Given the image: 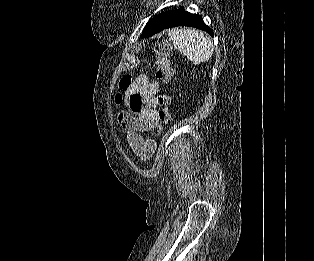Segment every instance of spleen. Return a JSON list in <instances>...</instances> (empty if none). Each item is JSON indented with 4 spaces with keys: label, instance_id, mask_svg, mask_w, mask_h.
Segmentation results:
<instances>
[{
    "label": "spleen",
    "instance_id": "obj_1",
    "mask_svg": "<svg viewBox=\"0 0 314 261\" xmlns=\"http://www.w3.org/2000/svg\"><path fill=\"white\" fill-rule=\"evenodd\" d=\"M168 35L174 47L195 64L206 62L213 55L212 40L203 32L194 29H173Z\"/></svg>",
    "mask_w": 314,
    "mask_h": 261
}]
</instances>
